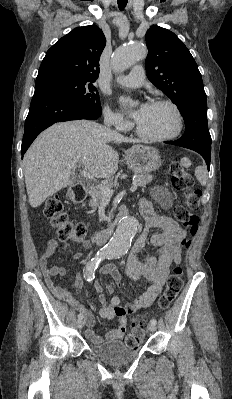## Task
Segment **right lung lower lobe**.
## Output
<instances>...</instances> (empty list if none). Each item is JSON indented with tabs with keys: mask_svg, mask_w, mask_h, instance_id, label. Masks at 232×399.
I'll return each instance as SVG.
<instances>
[{
	"mask_svg": "<svg viewBox=\"0 0 232 399\" xmlns=\"http://www.w3.org/2000/svg\"><path fill=\"white\" fill-rule=\"evenodd\" d=\"M101 113L60 90L51 87H35L25 121L21 155L25 154L38 134L52 124L79 119L95 120L101 116Z\"/></svg>",
	"mask_w": 232,
	"mask_h": 399,
	"instance_id": "obj_1",
	"label": "right lung lower lobe"
}]
</instances>
